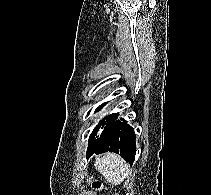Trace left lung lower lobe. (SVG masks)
<instances>
[{
  "label": "left lung lower lobe",
  "instance_id": "0a47b994",
  "mask_svg": "<svg viewBox=\"0 0 211 195\" xmlns=\"http://www.w3.org/2000/svg\"><path fill=\"white\" fill-rule=\"evenodd\" d=\"M120 120L115 118L103 129L96 145L87 152V159L93 154L114 152L133 164L136 154L135 132L126 120Z\"/></svg>",
  "mask_w": 211,
  "mask_h": 195
}]
</instances>
